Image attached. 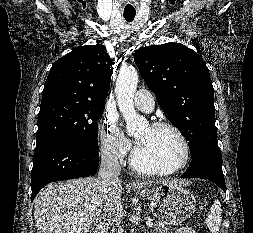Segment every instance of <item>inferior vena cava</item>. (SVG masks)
Segmentation results:
<instances>
[{
    "label": "inferior vena cava",
    "mask_w": 253,
    "mask_h": 233,
    "mask_svg": "<svg viewBox=\"0 0 253 233\" xmlns=\"http://www.w3.org/2000/svg\"><path fill=\"white\" fill-rule=\"evenodd\" d=\"M121 166L114 149H104L101 151V164L98 172V181L102 187L105 201L104 210L109 217L118 221L121 217V198L118 191L120 184L119 175Z\"/></svg>",
    "instance_id": "1"
}]
</instances>
